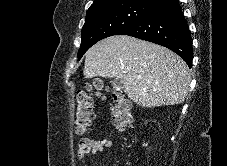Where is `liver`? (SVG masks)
I'll list each match as a JSON object with an SVG mask.
<instances>
[{"label":"liver","instance_id":"1","mask_svg":"<svg viewBox=\"0 0 227 166\" xmlns=\"http://www.w3.org/2000/svg\"><path fill=\"white\" fill-rule=\"evenodd\" d=\"M83 74L86 79H120L127 96L142 107L183 103L191 81L187 64L174 52L124 35L93 45L86 52Z\"/></svg>","mask_w":227,"mask_h":166}]
</instances>
